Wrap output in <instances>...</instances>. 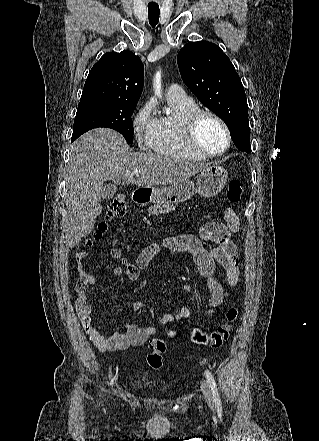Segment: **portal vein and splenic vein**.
Returning a JSON list of instances; mask_svg holds the SVG:
<instances>
[{
  "label": "portal vein and splenic vein",
  "mask_w": 319,
  "mask_h": 441,
  "mask_svg": "<svg viewBox=\"0 0 319 441\" xmlns=\"http://www.w3.org/2000/svg\"><path fill=\"white\" fill-rule=\"evenodd\" d=\"M141 172L140 169L136 168L132 171L133 174H139Z\"/></svg>",
  "instance_id": "portal-vein-and-splenic-vein-1"
}]
</instances>
